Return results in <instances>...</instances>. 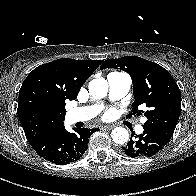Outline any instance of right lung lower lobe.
Masks as SVG:
<instances>
[{"mask_svg":"<svg viewBox=\"0 0 196 196\" xmlns=\"http://www.w3.org/2000/svg\"><path fill=\"white\" fill-rule=\"evenodd\" d=\"M98 129H77L76 133L65 130L64 125L30 144L44 159L57 165L79 160L88 149L89 137Z\"/></svg>","mask_w":196,"mask_h":196,"instance_id":"98d812e1","label":"right lung lower lobe"}]
</instances>
